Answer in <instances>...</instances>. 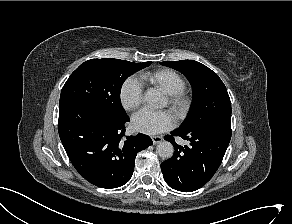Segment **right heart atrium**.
Returning a JSON list of instances; mask_svg holds the SVG:
<instances>
[{
  "label": "right heart atrium",
  "instance_id": "1",
  "mask_svg": "<svg viewBox=\"0 0 292 224\" xmlns=\"http://www.w3.org/2000/svg\"><path fill=\"white\" fill-rule=\"evenodd\" d=\"M119 99L123 108L132 111L138 108L143 100V87L135 77L127 78L119 89Z\"/></svg>",
  "mask_w": 292,
  "mask_h": 224
}]
</instances>
